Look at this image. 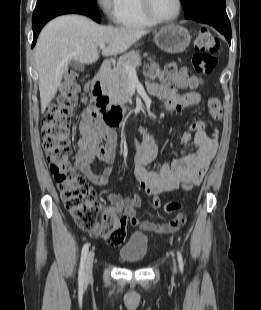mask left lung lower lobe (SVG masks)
Wrapping results in <instances>:
<instances>
[{
	"instance_id": "0a47b994",
	"label": "left lung lower lobe",
	"mask_w": 261,
	"mask_h": 310,
	"mask_svg": "<svg viewBox=\"0 0 261 310\" xmlns=\"http://www.w3.org/2000/svg\"><path fill=\"white\" fill-rule=\"evenodd\" d=\"M198 22L213 26L215 29H217L220 33H222L226 37L229 43L231 42V25L229 19H208Z\"/></svg>"
}]
</instances>
